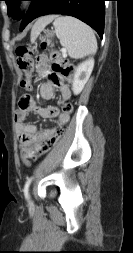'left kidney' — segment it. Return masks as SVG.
I'll return each instance as SVG.
<instances>
[{"label": "left kidney", "mask_w": 133, "mask_h": 253, "mask_svg": "<svg viewBox=\"0 0 133 253\" xmlns=\"http://www.w3.org/2000/svg\"><path fill=\"white\" fill-rule=\"evenodd\" d=\"M93 67H94V60L89 59L80 64L75 69L72 88L74 94L77 95L83 90L85 84L87 83L92 73Z\"/></svg>", "instance_id": "obj_1"}]
</instances>
